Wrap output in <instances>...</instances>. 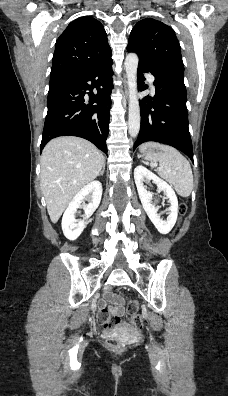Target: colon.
I'll return each instance as SVG.
<instances>
[{
  "label": "colon",
  "instance_id": "colon-1",
  "mask_svg": "<svg viewBox=\"0 0 228 396\" xmlns=\"http://www.w3.org/2000/svg\"><path fill=\"white\" fill-rule=\"evenodd\" d=\"M187 212V206L185 203L180 205V214L185 215ZM140 305L138 301L131 300L127 304V313L130 317L131 323L137 327H142V318L139 314ZM103 319V317H101ZM120 319L118 316H113L104 320V327L107 330H113L119 323ZM107 345L113 350H120L124 346L123 339L118 335H112L107 340Z\"/></svg>",
  "mask_w": 228,
  "mask_h": 396
}]
</instances>
